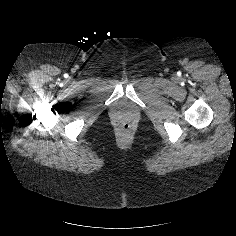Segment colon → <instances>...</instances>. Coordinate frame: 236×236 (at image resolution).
Wrapping results in <instances>:
<instances>
[{
    "label": "colon",
    "instance_id": "1",
    "mask_svg": "<svg viewBox=\"0 0 236 236\" xmlns=\"http://www.w3.org/2000/svg\"><path fill=\"white\" fill-rule=\"evenodd\" d=\"M121 131L125 134L129 133L131 131V125L129 123H123L121 125Z\"/></svg>",
    "mask_w": 236,
    "mask_h": 236
}]
</instances>
